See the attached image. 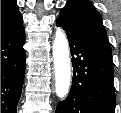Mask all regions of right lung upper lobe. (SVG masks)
I'll return each mask as SVG.
<instances>
[{
	"label": "right lung upper lobe",
	"mask_w": 121,
	"mask_h": 113,
	"mask_svg": "<svg viewBox=\"0 0 121 113\" xmlns=\"http://www.w3.org/2000/svg\"><path fill=\"white\" fill-rule=\"evenodd\" d=\"M22 24L16 0H1V37L16 31Z\"/></svg>",
	"instance_id": "obj_1"
}]
</instances>
